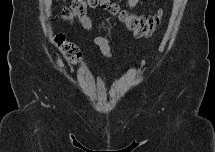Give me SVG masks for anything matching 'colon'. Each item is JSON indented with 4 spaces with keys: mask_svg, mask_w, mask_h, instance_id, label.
<instances>
[{
    "mask_svg": "<svg viewBox=\"0 0 215 152\" xmlns=\"http://www.w3.org/2000/svg\"><path fill=\"white\" fill-rule=\"evenodd\" d=\"M95 8L106 10L117 17L137 37L150 36L159 24V15H136L110 0H75L62 9L60 17L64 20L71 21L74 18L84 16L88 9ZM55 41L65 61L70 65L78 64L81 54L77 46L67 41L62 34H58Z\"/></svg>",
    "mask_w": 215,
    "mask_h": 152,
    "instance_id": "colon-1",
    "label": "colon"
}]
</instances>
